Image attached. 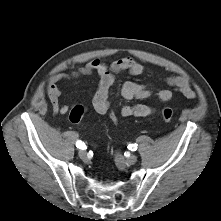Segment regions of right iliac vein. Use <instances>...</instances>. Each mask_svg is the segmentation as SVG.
I'll use <instances>...</instances> for the list:
<instances>
[{"label": "right iliac vein", "mask_w": 221, "mask_h": 221, "mask_svg": "<svg viewBox=\"0 0 221 221\" xmlns=\"http://www.w3.org/2000/svg\"><path fill=\"white\" fill-rule=\"evenodd\" d=\"M87 152L85 150H80L79 151V157L82 159V160H87Z\"/></svg>", "instance_id": "1"}]
</instances>
